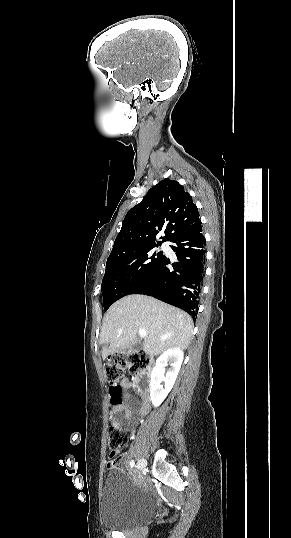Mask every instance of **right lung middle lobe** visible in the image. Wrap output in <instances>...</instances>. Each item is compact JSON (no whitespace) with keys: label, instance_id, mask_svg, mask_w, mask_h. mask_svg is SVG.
<instances>
[{"label":"right lung middle lobe","instance_id":"1","mask_svg":"<svg viewBox=\"0 0 291 538\" xmlns=\"http://www.w3.org/2000/svg\"><path fill=\"white\" fill-rule=\"evenodd\" d=\"M158 246H147L107 259L101 287L105 310L131 294L147 278L164 256L162 251H153Z\"/></svg>","mask_w":291,"mask_h":538}]
</instances>
